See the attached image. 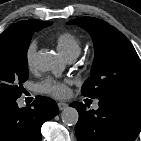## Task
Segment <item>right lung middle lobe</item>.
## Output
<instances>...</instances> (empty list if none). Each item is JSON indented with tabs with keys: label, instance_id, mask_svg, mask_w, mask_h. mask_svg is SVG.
<instances>
[{
	"label": "right lung middle lobe",
	"instance_id": "right-lung-middle-lobe-1",
	"mask_svg": "<svg viewBox=\"0 0 141 141\" xmlns=\"http://www.w3.org/2000/svg\"><path fill=\"white\" fill-rule=\"evenodd\" d=\"M51 24L40 21L0 36V101L14 100L21 96L22 83L29 76L27 50L31 36Z\"/></svg>",
	"mask_w": 141,
	"mask_h": 141
}]
</instances>
